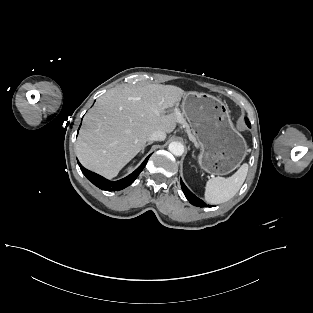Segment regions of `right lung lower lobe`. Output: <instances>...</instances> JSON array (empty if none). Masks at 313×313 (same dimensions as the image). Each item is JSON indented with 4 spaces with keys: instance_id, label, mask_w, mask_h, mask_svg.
Instances as JSON below:
<instances>
[{
    "instance_id": "right-lung-lower-lobe-1",
    "label": "right lung lower lobe",
    "mask_w": 313,
    "mask_h": 313,
    "mask_svg": "<svg viewBox=\"0 0 313 313\" xmlns=\"http://www.w3.org/2000/svg\"><path fill=\"white\" fill-rule=\"evenodd\" d=\"M150 155L144 160V162L130 175L127 177L120 179L118 181H110L105 179L104 177L91 172L87 169H85L79 162V167L82 171V173L86 176V178L92 182L95 186L102 190L106 191H118L126 188L127 186L131 185L135 179L138 177V175L141 173V171L144 169Z\"/></svg>"
}]
</instances>
